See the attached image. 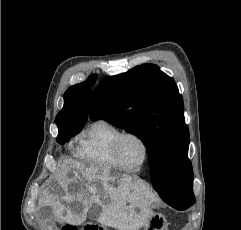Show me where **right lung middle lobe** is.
Wrapping results in <instances>:
<instances>
[{"label": "right lung middle lobe", "mask_w": 241, "mask_h": 230, "mask_svg": "<svg viewBox=\"0 0 241 230\" xmlns=\"http://www.w3.org/2000/svg\"><path fill=\"white\" fill-rule=\"evenodd\" d=\"M83 127L74 125L58 126L59 134L56 138L59 144H64L70 140L71 137L77 135Z\"/></svg>", "instance_id": "dd1d6c3e"}]
</instances>
